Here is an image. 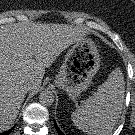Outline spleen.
<instances>
[{"label": "spleen", "instance_id": "1", "mask_svg": "<svg viewBox=\"0 0 135 135\" xmlns=\"http://www.w3.org/2000/svg\"><path fill=\"white\" fill-rule=\"evenodd\" d=\"M124 92V77L115 69L97 92L72 112L73 123L88 135H110L122 110Z\"/></svg>", "mask_w": 135, "mask_h": 135}]
</instances>
